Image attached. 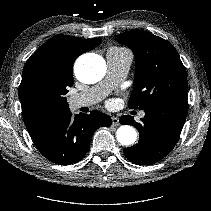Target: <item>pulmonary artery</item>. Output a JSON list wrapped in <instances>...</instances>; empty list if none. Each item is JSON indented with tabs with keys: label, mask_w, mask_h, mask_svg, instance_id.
Returning <instances> with one entry per match:
<instances>
[{
	"label": "pulmonary artery",
	"mask_w": 211,
	"mask_h": 211,
	"mask_svg": "<svg viewBox=\"0 0 211 211\" xmlns=\"http://www.w3.org/2000/svg\"><path fill=\"white\" fill-rule=\"evenodd\" d=\"M106 60L108 68L106 78L98 85L70 96L68 101L72 109L91 106L102 100L111 88L127 76L132 63V54L126 50L110 48L106 53ZM144 115V112L140 113L141 117Z\"/></svg>",
	"instance_id": "pulmonary-artery-1"
}]
</instances>
